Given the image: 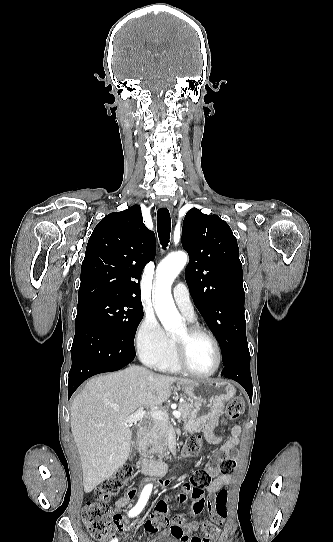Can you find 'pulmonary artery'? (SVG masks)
Masks as SVG:
<instances>
[{"mask_svg":"<svg viewBox=\"0 0 333 542\" xmlns=\"http://www.w3.org/2000/svg\"><path fill=\"white\" fill-rule=\"evenodd\" d=\"M178 286V289L175 287L173 290V298L175 304L179 311L189 320L193 321L195 319V310L190 298V286L186 285L183 281ZM178 290V291H177Z\"/></svg>","mask_w":333,"mask_h":542,"instance_id":"obj_1","label":"pulmonary artery"}]
</instances>
